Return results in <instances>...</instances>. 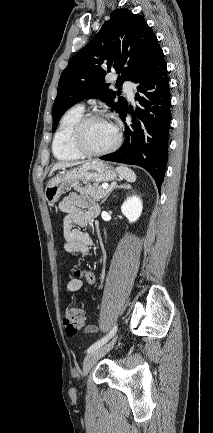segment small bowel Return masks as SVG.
Here are the masks:
<instances>
[{"label": "small bowel", "mask_w": 213, "mask_h": 433, "mask_svg": "<svg viewBox=\"0 0 213 433\" xmlns=\"http://www.w3.org/2000/svg\"><path fill=\"white\" fill-rule=\"evenodd\" d=\"M59 208L65 214L62 223L65 240L63 249L68 253L89 254L92 245L91 235L80 228L92 229L100 211L98 204L87 196L71 193L61 202ZM73 225L80 228H73ZM74 275L75 277L66 284V290L69 292H76L84 284L93 285L96 282V276L91 270L76 269ZM88 330L95 332L97 328L91 325Z\"/></svg>", "instance_id": "1"}]
</instances>
